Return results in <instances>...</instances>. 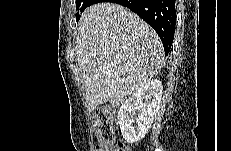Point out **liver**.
I'll use <instances>...</instances> for the list:
<instances>
[{"instance_id":"liver-1","label":"liver","mask_w":231,"mask_h":151,"mask_svg":"<svg viewBox=\"0 0 231 151\" xmlns=\"http://www.w3.org/2000/svg\"><path fill=\"white\" fill-rule=\"evenodd\" d=\"M76 54L92 110L133 94L158 74L164 62L156 32L111 2L93 4L82 13Z\"/></svg>"}]
</instances>
